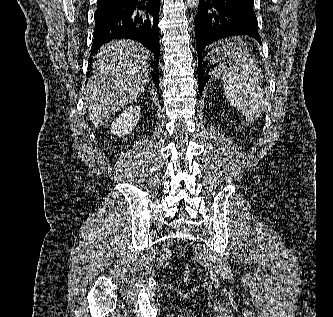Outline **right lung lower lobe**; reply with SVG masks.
Segmentation results:
<instances>
[{
  "mask_svg": "<svg viewBox=\"0 0 333 317\" xmlns=\"http://www.w3.org/2000/svg\"><path fill=\"white\" fill-rule=\"evenodd\" d=\"M160 0L98 1L91 55L104 43L114 39H132L141 42L152 53L154 71L151 79L159 92L158 60Z\"/></svg>",
  "mask_w": 333,
  "mask_h": 317,
  "instance_id": "obj_1",
  "label": "right lung lower lobe"
}]
</instances>
